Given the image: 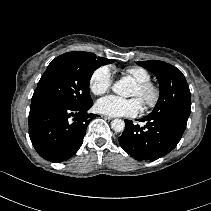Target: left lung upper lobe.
<instances>
[{
    "instance_id": "1",
    "label": "left lung upper lobe",
    "mask_w": 211,
    "mask_h": 211,
    "mask_svg": "<svg viewBox=\"0 0 211 211\" xmlns=\"http://www.w3.org/2000/svg\"><path fill=\"white\" fill-rule=\"evenodd\" d=\"M138 65L154 73L159 81L160 96L151 114L171 113L187 120L191 112V94L183 73L163 61H139Z\"/></svg>"
}]
</instances>
